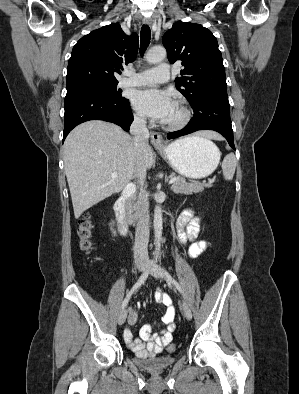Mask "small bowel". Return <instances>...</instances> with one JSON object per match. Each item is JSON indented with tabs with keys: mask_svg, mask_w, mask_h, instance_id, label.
<instances>
[{
	"mask_svg": "<svg viewBox=\"0 0 299 394\" xmlns=\"http://www.w3.org/2000/svg\"><path fill=\"white\" fill-rule=\"evenodd\" d=\"M177 234L182 244H189V255L192 258L199 256L208 246V242L201 238L200 219L191 209L184 210L177 219ZM155 301L166 307L162 318L165 328L159 333H153L152 326L143 325L138 338H133L130 326L135 325L138 314L135 308H129L128 323L125 329L124 339L131 350L138 357H155L163 352L173 338L176 329L175 307L171 297L163 290H157L154 295Z\"/></svg>",
	"mask_w": 299,
	"mask_h": 394,
	"instance_id": "c3829d8e",
	"label": "small bowel"
}]
</instances>
